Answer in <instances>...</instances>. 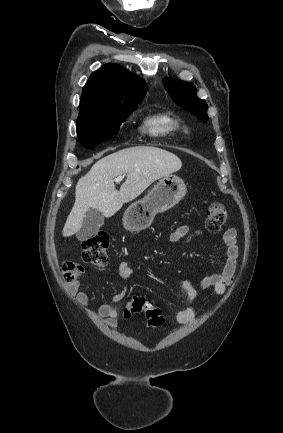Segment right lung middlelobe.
<instances>
[{"label": "right lung middle lobe", "mask_w": 283, "mask_h": 433, "mask_svg": "<svg viewBox=\"0 0 283 433\" xmlns=\"http://www.w3.org/2000/svg\"><path fill=\"white\" fill-rule=\"evenodd\" d=\"M136 107L109 108L103 110L80 111L77 119V133L80 143L93 148L101 141L116 133Z\"/></svg>", "instance_id": "obj_1"}]
</instances>
